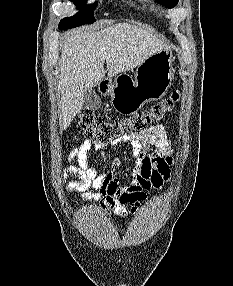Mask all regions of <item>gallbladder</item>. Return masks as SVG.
<instances>
[{
  "instance_id": "1",
  "label": "gallbladder",
  "mask_w": 233,
  "mask_h": 286,
  "mask_svg": "<svg viewBox=\"0 0 233 286\" xmlns=\"http://www.w3.org/2000/svg\"><path fill=\"white\" fill-rule=\"evenodd\" d=\"M83 106L90 110H98L100 108L101 99L92 88L84 92Z\"/></svg>"
}]
</instances>
